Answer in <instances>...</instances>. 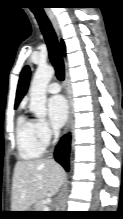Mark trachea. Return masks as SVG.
I'll return each instance as SVG.
<instances>
[{
  "mask_svg": "<svg viewBox=\"0 0 123 219\" xmlns=\"http://www.w3.org/2000/svg\"><path fill=\"white\" fill-rule=\"evenodd\" d=\"M33 13L35 14V17L45 38L49 51V57L55 68L56 76L60 81H62L64 79V64L56 33L44 11H33Z\"/></svg>",
  "mask_w": 123,
  "mask_h": 219,
  "instance_id": "1",
  "label": "trachea"
}]
</instances>
